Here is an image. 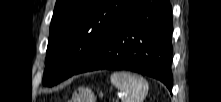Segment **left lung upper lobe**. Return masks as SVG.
<instances>
[{
  "instance_id": "left-lung-upper-lobe-1",
  "label": "left lung upper lobe",
  "mask_w": 221,
  "mask_h": 102,
  "mask_svg": "<svg viewBox=\"0 0 221 102\" xmlns=\"http://www.w3.org/2000/svg\"><path fill=\"white\" fill-rule=\"evenodd\" d=\"M131 0H57L43 77L53 86L71 77L90 57Z\"/></svg>"
}]
</instances>
